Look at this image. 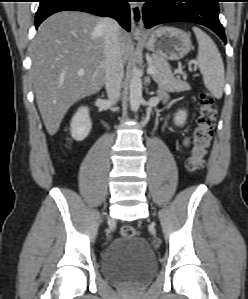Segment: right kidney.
I'll return each mask as SVG.
<instances>
[{
  "label": "right kidney",
  "mask_w": 248,
  "mask_h": 299,
  "mask_svg": "<svg viewBox=\"0 0 248 299\" xmlns=\"http://www.w3.org/2000/svg\"><path fill=\"white\" fill-rule=\"evenodd\" d=\"M92 128L89 109L80 107L71 120L70 132L72 137L77 141L84 140Z\"/></svg>",
  "instance_id": "right-kidney-1"
}]
</instances>
